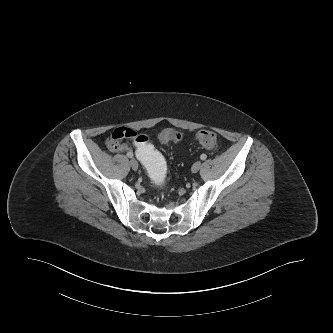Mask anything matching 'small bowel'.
<instances>
[{"mask_svg":"<svg viewBox=\"0 0 333 333\" xmlns=\"http://www.w3.org/2000/svg\"><path fill=\"white\" fill-rule=\"evenodd\" d=\"M136 132L134 128L128 126L114 127L106 140V145L111 152L122 153L129 151L136 146ZM130 152V151H129Z\"/></svg>","mask_w":333,"mask_h":333,"instance_id":"small-bowel-1","label":"small bowel"}]
</instances>
